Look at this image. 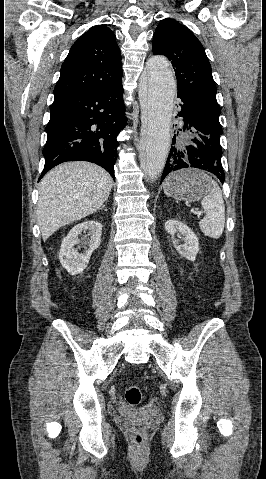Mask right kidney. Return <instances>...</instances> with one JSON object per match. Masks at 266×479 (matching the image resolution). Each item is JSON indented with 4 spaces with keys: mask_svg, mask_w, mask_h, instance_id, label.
I'll list each match as a JSON object with an SVG mask.
<instances>
[{
    "mask_svg": "<svg viewBox=\"0 0 266 479\" xmlns=\"http://www.w3.org/2000/svg\"><path fill=\"white\" fill-rule=\"evenodd\" d=\"M88 231L90 239L88 241L89 248L82 254H79L75 245L79 243L78 236L83 231ZM102 225L97 221H86L74 226L68 235L63 239L59 260L63 268L71 275H76L87 267L90 257L101 242Z\"/></svg>",
    "mask_w": 266,
    "mask_h": 479,
    "instance_id": "1",
    "label": "right kidney"
}]
</instances>
